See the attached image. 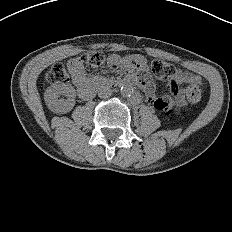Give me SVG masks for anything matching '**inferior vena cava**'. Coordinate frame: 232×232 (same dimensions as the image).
Segmentation results:
<instances>
[{"label":"inferior vena cava","instance_id":"1","mask_svg":"<svg viewBox=\"0 0 232 232\" xmlns=\"http://www.w3.org/2000/svg\"><path fill=\"white\" fill-rule=\"evenodd\" d=\"M112 95V90L107 86H101L98 89V96L100 98H108Z\"/></svg>","mask_w":232,"mask_h":232}]
</instances>
